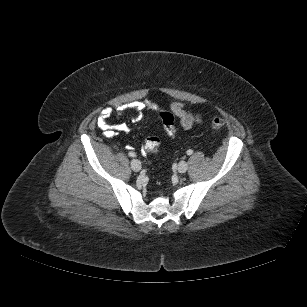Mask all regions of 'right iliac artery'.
<instances>
[{
    "label": "right iliac artery",
    "instance_id": "right-iliac-artery-1",
    "mask_svg": "<svg viewBox=\"0 0 307 307\" xmlns=\"http://www.w3.org/2000/svg\"><path fill=\"white\" fill-rule=\"evenodd\" d=\"M129 156L135 157L136 155H135V153L130 152V153H129Z\"/></svg>",
    "mask_w": 307,
    "mask_h": 307
}]
</instances>
